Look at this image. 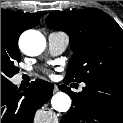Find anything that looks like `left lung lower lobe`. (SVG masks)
I'll list each match as a JSON object with an SVG mask.
<instances>
[{"mask_svg":"<svg viewBox=\"0 0 123 123\" xmlns=\"http://www.w3.org/2000/svg\"><path fill=\"white\" fill-rule=\"evenodd\" d=\"M70 81L64 80V83ZM80 93L61 85L73 100L61 123H123V82L89 81Z\"/></svg>","mask_w":123,"mask_h":123,"instance_id":"0a47b994","label":"left lung lower lobe"}]
</instances>
